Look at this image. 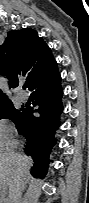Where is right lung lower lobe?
Instances as JSON below:
<instances>
[{
	"mask_svg": "<svg viewBox=\"0 0 89 203\" xmlns=\"http://www.w3.org/2000/svg\"><path fill=\"white\" fill-rule=\"evenodd\" d=\"M61 76L57 65L41 75L30 87L35 93L36 109L25 107V111L16 128L26 140L25 153L32 156L34 166L31 174L44 177L48 171L49 155L57 143L55 131L60 126L59 117L63 106Z\"/></svg>",
	"mask_w": 89,
	"mask_h": 203,
	"instance_id": "right-lung-lower-lobe-1",
	"label": "right lung lower lobe"
}]
</instances>
